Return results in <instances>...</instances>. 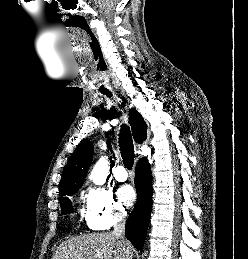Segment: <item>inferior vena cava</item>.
<instances>
[{
    "label": "inferior vena cava",
    "mask_w": 248,
    "mask_h": 259,
    "mask_svg": "<svg viewBox=\"0 0 248 259\" xmlns=\"http://www.w3.org/2000/svg\"><path fill=\"white\" fill-rule=\"evenodd\" d=\"M112 234L117 238L124 239L125 236V217L122 213L116 215Z\"/></svg>",
    "instance_id": "1"
}]
</instances>
